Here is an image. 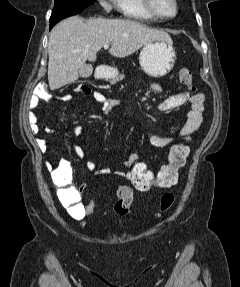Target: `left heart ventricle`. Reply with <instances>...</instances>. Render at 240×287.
Segmentation results:
<instances>
[{"label": "left heart ventricle", "instance_id": "b2bd125f", "mask_svg": "<svg viewBox=\"0 0 240 287\" xmlns=\"http://www.w3.org/2000/svg\"><path fill=\"white\" fill-rule=\"evenodd\" d=\"M157 10L166 16L173 15L175 12V5L173 0H154Z\"/></svg>", "mask_w": 240, "mask_h": 287}]
</instances>
